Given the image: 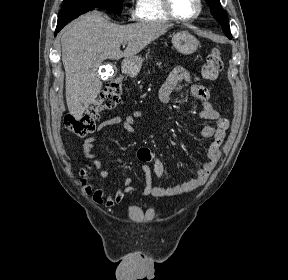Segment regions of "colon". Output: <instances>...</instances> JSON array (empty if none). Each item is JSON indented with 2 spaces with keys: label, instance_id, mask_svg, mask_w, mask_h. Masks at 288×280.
I'll return each instance as SVG.
<instances>
[{
  "label": "colon",
  "instance_id": "colon-1",
  "mask_svg": "<svg viewBox=\"0 0 288 280\" xmlns=\"http://www.w3.org/2000/svg\"><path fill=\"white\" fill-rule=\"evenodd\" d=\"M223 68V60L219 50L213 49L205 58L200 69V78L206 81L217 79ZM122 84L115 79L106 84L98 97L89 108L80 116L67 115L64 120V128L78 137H84L93 133L100 113L114 108L120 101Z\"/></svg>",
  "mask_w": 288,
  "mask_h": 280
}]
</instances>
